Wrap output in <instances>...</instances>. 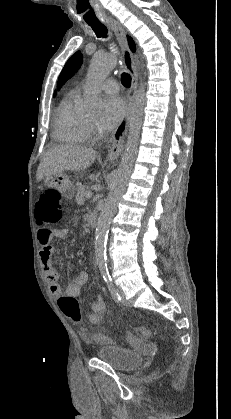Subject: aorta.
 <instances>
[{
  "label": "aorta",
  "instance_id": "1",
  "mask_svg": "<svg viewBox=\"0 0 231 419\" xmlns=\"http://www.w3.org/2000/svg\"><path fill=\"white\" fill-rule=\"evenodd\" d=\"M117 64L113 55L96 54L90 63L88 71L87 86L85 89V102L88 109L98 110L102 102L97 94L96 86L98 82L108 76ZM145 105V86L137 90L133 100L131 114L129 118V132L125 144L124 155L119 164L118 170L114 175V182L104 204V208L98 218L94 256L95 262L99 267L106 266V243L109 232V226L112 217L117 208L118 201L126 190L130 175L133 170L135 156L140 139L142 127V118Z\"/></svg>",
  "mask_w": 231,
  "mask_h": 419
}]
</instances>
